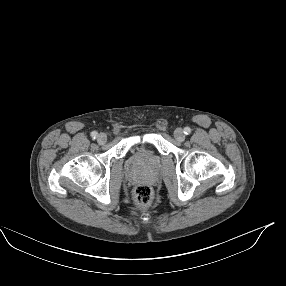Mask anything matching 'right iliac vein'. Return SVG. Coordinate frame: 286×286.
<instances>
[{
  "label": "right iliac vein",
  "instance_id": "right-iliac-vein-1",
  "mask_svg": "<svg viewBox=\"0 0 286 286\" xmlns=\"http://www.w3.org/2000/svg\"><path fill=\"white\" fill-rule=\"evenodd\" d=\"M97 141H98V143L99 144H105L106 143V141H107V136H106V134H104V133H100L98 136H97Z\"/></svg>",
  "mask_w": 286,
  "mask_h": 286
}]
</instances>
